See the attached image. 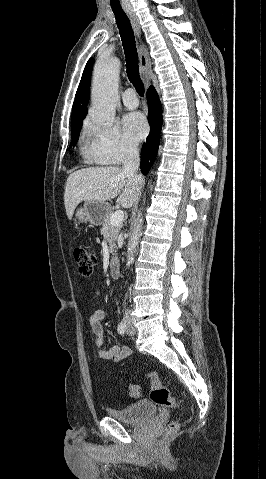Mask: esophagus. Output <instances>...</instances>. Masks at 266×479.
<instances>
[{
    "label": "esophagus",
    "mask_w": 266,
    "mask_h": 479,
    "mask_svg": "<svg viewBox=\"0 0 266 479\" xmlns=\"http://www.w3.org/2000/svg\"><path fill=\"white\" fill-rule=\"evenodd\" d=\"M125 11L129 16L131 24H132L133 29H134V32L139 39V49H138V51H139V61H140V65H139L140 66V74H141L142 81H143L145 87L148 88L149 85H150V79L147 76L146 72H147V70L149 69V66H150V59H149V55H148L147 50L145 49L143 43L141 42V38H140L141 29H140L139 21H138V18L136 16L135 12L132 9H126Z\"/></svg>",
    "instance_id": "obj_1"
}]
</instances>
